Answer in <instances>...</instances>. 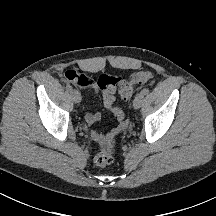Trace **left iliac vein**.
<instances>
[{"instance_id":"4c4485c4","label":"left iliac vein","mask_w":216,"mask_h":216,"mask_svg":"<svg viewBox=\"0 0 216 216\" xmlns=\"http://www.w3.org/2000/svg\"><path fill=\"white\" fill-rule=\"evenodd\" d=\"M143 102V95L141 93L137 94L133 100V106L135 109H138L141 107Z\"/></svg>"}]
</instances>
